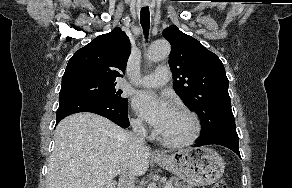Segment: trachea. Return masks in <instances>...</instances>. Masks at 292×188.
<instances>
[{
  "mask_svg": "<svg viewBox=\"0 0 292 188\" xmlns=\"http://www.w3.org/2000/svg\"><path fill=\"white\" fill-rule=\"evenodd\" d=\"M140 23L143 28L146 39L148 38L150 27V12L149 7H143L140 11Z\"/></svg>",
  "mask_w": 292,
  "mask_h": 188,
  "instance_id": "3493384b",
  "label": "trachea"
}]
</instances>
